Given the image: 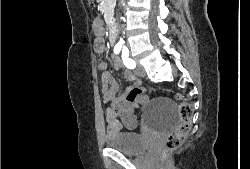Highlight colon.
I'll use <instances>...</instances> for the list:
<instances>
[{
  "label": "colon",
  "instance_id": "5ec220e1",
  "mask_svg": "<svg viewBox=\"0 0 250 169\" xmlns=\"http://www.w3.org/2000/svg\"><path fill=\"white\" fill-rule=\"evenodd\" d=\"M96 41L93 42V53H98V51H103V42L100 41V36L96 35ZM174 101L179 102L178 111L180 115L181 126H176V130L171 134H168V138L165 139L166 145H164V150H161L159 166L161 169H173L174 165L171 163V155L173 150H181V144L184 142L185 135H189V131H192L193 122H191L192 116V106L191 99L182 98L180 92H175ZM125 100H137L144 103L143 111L145 110V104L149 102L148 95H145V90H133L128 91L125 95ZM120 103H112V115L114 117H119L120 113ZM143 118L142 116L140 117Z\"/></svg>",
  "mask_w": 250,
  "mask_h": 169
}]
</instances>
